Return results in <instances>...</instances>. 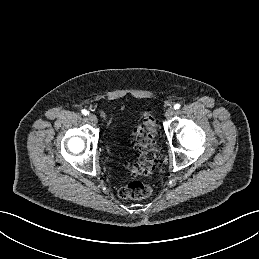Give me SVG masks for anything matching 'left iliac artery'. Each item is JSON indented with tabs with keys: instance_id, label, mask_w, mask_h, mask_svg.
Listing matches in <instances>:
<instances>
[{
	"instance_id": "44dca946",
	"label": "left iliac artery",
	"mask_w": 259,
	"mask_h": 259,
	"mask_svg": "<svg viewBox=\"0 0 259 259\" xmlns=\"http://www.w3.org/2000/svg\"><path fill=\"white\" fill-rule=\"evenodd\" d=\"M179 108H180V104L177 103V104L174 105L175 110H178Z\"/></svg>"
}]
</instances>
